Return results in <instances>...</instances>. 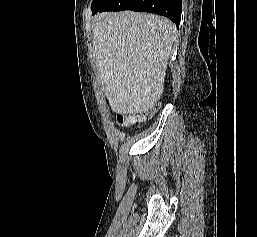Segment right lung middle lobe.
<instances>
[{
	"instance_id": "obj_1",
	"label": "right lung middle lobe",
	"mask_w": 257,
	"mask_h": 237,
	"mask_svg": "<svg viewBox=\"0 0 257 237\" xmlns=\"http://www.w3.org/2000/svg\"><path fill=\"white\" fill-rule=\"evenodd\" d=\"M110 0H93L92 8H101L106 5Z\"/></svg>"
}]
</instances>
